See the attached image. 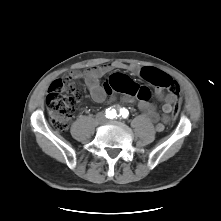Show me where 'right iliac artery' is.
Listing matches in <instances>:
<instances>
[{"instance_id":"obj_1","label":"right iliac artery","mask_w":221,"mask_h":221,"mask_svg":"<svg viewBox=\"0 0 221 221\" xmlns=\"http://www.w3.org/2000/svg\"><path fill=\"white\" fill-rule=\"evenodd\" d=\"M117 116V113H116V110L115 109H107L106 110V117L107 118H110V119H113Z\"/></svg>"}]
</instances>
